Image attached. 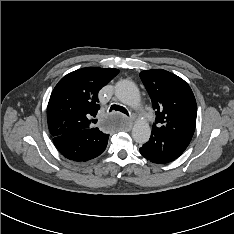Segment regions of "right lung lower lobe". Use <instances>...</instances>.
<instances>
[{
  "mask_svg": "<svg viewBox=\"0 0 234 234\" xmlns=\"http://www.w3.org/2000/svg\"><path fill=\"white\" fill-rule=\"evenodd\" d=\"M109 134L98 128L73 131L53 138L60 153L69 160L87 161L104 152Z\"/></svg>",
  "mask_w": 234,
  "mask_h": 234,
  "instance_id": "98d812e1",
  "label": "right lung lower lobe"
}]
</instances>
